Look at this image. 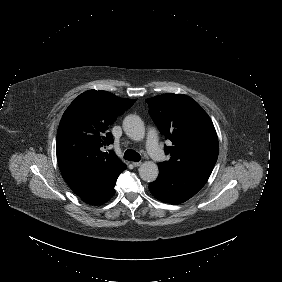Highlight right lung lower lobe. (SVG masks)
<instances>
[{
    "label": "right lung lower lobe",
    "mask_w": 282,
    "mask_h": 282,
    "mask_svg": "<svg viewBox=\"0 0 282 282\" xmlns=\"http://www.w3.org/2000/svg\"><path fill=\"white\" fill-rule=\"evenodd\" d=\"M121 172L97 182L94 188L81 199L91 205H101L110 200L115 194L114 186Z\"/></svg>",
    "instance_id": "98d812e1"
}]
</instances>
